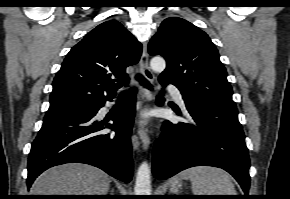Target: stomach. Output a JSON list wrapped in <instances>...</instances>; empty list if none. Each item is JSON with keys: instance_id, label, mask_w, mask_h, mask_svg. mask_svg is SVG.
Here are the masks:
<instances>
[{"instance_id": "1", "label": "stomach", "mask_w": 290, "mask_h": 199, "mask_svg": "<svg viewBox=\"0 0 290 199\" xmlns=\"http://www.w3.org/2000/svg\"><path fill=\"white\" fill-rule=\"evenodd\" d=\"M181 186H182V178L179 176L178 182H177V187H181Z\"/></svg>"}]
</instances>
